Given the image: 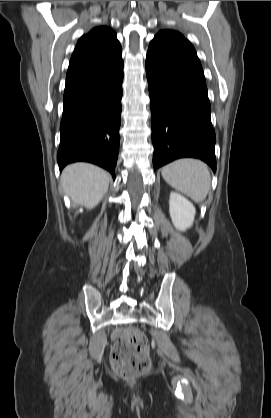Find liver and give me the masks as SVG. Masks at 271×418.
I'll list each match as a JSON object with an SVG mask.
<instances>
[{
	"mask_svg": "<svg viewBox=\"0 0 271 418\" xmlns=\"http://www.w3.org/2000/svg\"><path fill=\"white\" fill-rule=\"evenodd\" d=\"M109 179L110 175L98 166L74 163L63 170L61 184L72 202L91 209L108 191Z\"/></svg>",
	"mask_w": 271,
	"mask_h": 418,
	"instance_id": "obj_1",
	"label": "liver"
}]
</instances>
